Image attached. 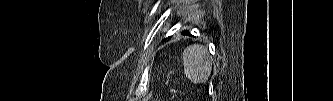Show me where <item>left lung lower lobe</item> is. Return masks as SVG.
Listing matches in <instances>:
<instances>
[{
  "label": "left lung lower lobe",
  "instance_id": "0a47b994",
  "mask_svg": "<svg viewBox=\"0 0 333 101\" xmlns=\"http://www.w3.org/2000/svg\"><path fill=\"white\" fill-rule=\"evenodd\" d=\"M182 34H183V35H191V34L189 33V31H182Z\"/></svg>",
  "mask_w": 333,
  "mask_h": 101
}]
</instances>
